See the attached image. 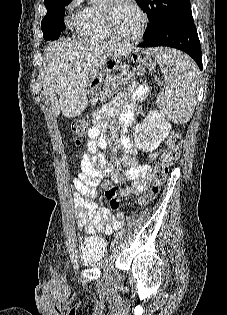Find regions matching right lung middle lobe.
Listing matches in <instances>:
<instances>
[{
  "label": "right lung middle lobe",
  "instance_id": "dd1d6c3e",
  "mask_svg": "<svg viewBox=\"0 0 227 315\" xmlns=\"http://www.w3.org/2000/svg\"><path fill=\"white\" fill-rule=\"evenodd\" d=\"M72 0H48L45 2L47 13L41 22L45 40H56L64 29L65 6Z\"/></svg>",
  "mask_w": 227,
  "mask_h": 315
}]
</instances>
